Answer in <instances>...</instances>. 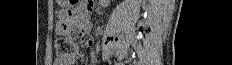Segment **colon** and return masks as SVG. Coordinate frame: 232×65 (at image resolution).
<instances>
[{
	"mask_svg": "<svg viewBox=\"0 0 232 65\" xmlns=\"http://www.w3.org/2000/svg\"><path fill=\"white\" fill-rule=\"evenodd\" d=\"M70 12V11H69ZM58 59H63L74 52L75 45L69 37H59L55 44Z\"/></svg>",
	"mask_w": 232,
	"mask_h": 65,
	"instance_id": "5ec220e1",
	"label": "colon"
}]
</instances>
